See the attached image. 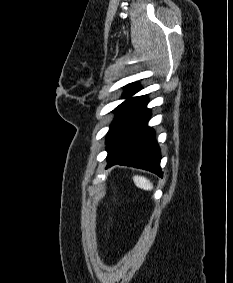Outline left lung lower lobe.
<instances>
[{"instance_id":"1","label":"left lung lower lobe","mask_w":233,"mask_h":283,"mask_svg":"<svg viewBox=\"0 0 233 283\" xmlns=\"http://www.w3.org/2000/svg\"><path fill=\"white\" fill-rule=\"evenodd\" d=\"M147 103V97L140 96L108 137L106 168L115 164L127 165L163 177L160 168L161 154L155 140V132L147 125L150 118Z\"/></svg>"}]
</instances>
